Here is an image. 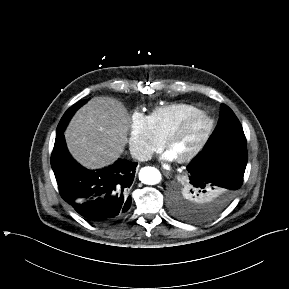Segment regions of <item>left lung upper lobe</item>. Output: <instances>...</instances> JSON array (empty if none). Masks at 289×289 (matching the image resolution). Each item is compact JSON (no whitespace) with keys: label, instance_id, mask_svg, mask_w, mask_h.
Returning a JSON list of instances; mask_svg holds the SVG:
<instances>
[{"label":"left lung upper lobe","instance_id":"left-lung-upper-lobe-1","mask_svg":"<svg viewBox=\"0 0 289 289\" xmlns=\"http://www.w3.org/2000/svg\"><path fill=\"white\" fill-rule=\"evenodd\" d=\"M234 144L246 145V138L233 111L225 104H221L218 124L202 151ZM212 200L210 194L182 182L179 190L175 192L172 211L184 220L206 221L218 215L210 211Z\"/></svg>","mask_w":289,"mask_h":289}]
</instances>
